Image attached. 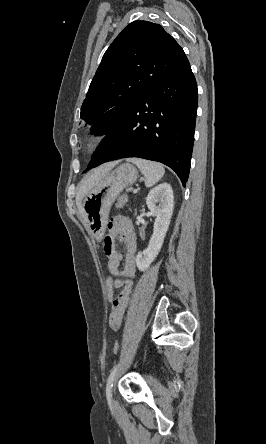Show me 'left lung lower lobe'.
<instances>
[{
	"mask_svg": "<svg viewBox=\"0 0 266 444\" xmlns=\"http://www.w3.org/2000/svg\"><path fill=\"white\" fill-rule=\"evenodd\" d=\"M197 84L185 56L156 83L100 143L89 169L104 162L139 157L158 161L187 182L194 142Z\"/></svg>",
	"mask_w": 266,
	"mask_h": 444,
	"instance_id": "1",
	"label": "left lung lower lobe"
}]
</instances>
